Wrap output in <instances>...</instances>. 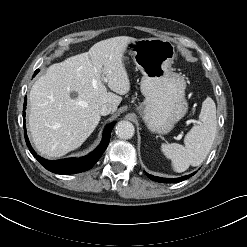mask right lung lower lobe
<instances>
[{"mask_svg": "<svg viewBox=\"0 0 247 247\" xmlns=\"http://www.w3.org/2000/svg\"><path fill=\"white\" fill-rule=\"evenodd\" d=\"M26 101L27 98L25 97L24 109H23L24 122H25V109L27 104ZM115 123L116 122H112L108 126H106L103 133V139L100 145L93 152L81 158H67V159L54 160V161L46 160L38 156L32 149L26 134L25 124H24V136L30 152L47 170L57 174H75L91 169L94 166V164L99 160V158L102 156L103 152L106 150L108 146L111 131Z\"/></svg>", "mask_w": 247, "mask_h": 247, "instance_id": "98d812e1", "label": "right lung lower lobe"}]
</instances>
